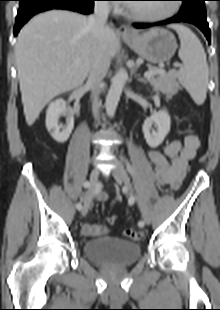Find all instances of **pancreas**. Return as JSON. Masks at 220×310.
Returning a JSON list of instances; mask_svg holds the SVG:
<instances>
[{
  "label": "pancreas",
  "mask_w": 220,
  "mask_h": 310,
  "mask_svg": "<svg viewBox=\"0 0 220 310\" xmlns=\"http://www.w3.org/2000/svg\"><path fill=\"white\" fill-rule=\"evenodd\" d=\"M157 68L149 66V71H156ZM157 93L162 92L167 96H172L178 89L176 75L174 71L168 73L155 74L147 79Z\"/></svg>",
  "instance_id": "1"
}]
</instances>
